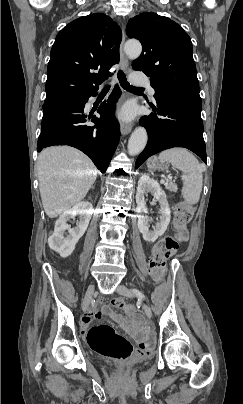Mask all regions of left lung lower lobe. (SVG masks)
Segmentation results:
<instances>
[{"label":"left lung lower lobe","instance_id":"0a47b994","mask_svg":"<svg viewBox=\"0 0 243 404\" xmlns=\"http://www.w3.org/2000/svg\"><path fill=\"white\" fill-rule=\"evenodd\" d=\"M157 107L150 105L157 114L143 116L140 124L148 133V142L137 158L138 168L147 158L173 147H185L206 163V147L203 139L200 97L166 95L156 99Z\"/></svg>","mask_w":243,"mask_h":404}]
</instances>
